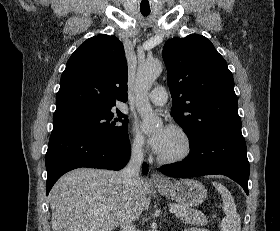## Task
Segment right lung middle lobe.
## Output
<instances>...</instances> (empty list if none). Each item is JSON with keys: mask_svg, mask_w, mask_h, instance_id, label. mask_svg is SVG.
Returning a JSON list of instances; mask_svg holds the SVG:
<instances>
[{"mask_svg": "<svg viewBox=\"0 0 280 231\" xmlns=\"http://www.w3.org/2000/svg\"><path fill=\"white\" fill-rule=\"evenodd\" d=\"M93 116L73 118L53 122V131L75 130L99 137L117 138L127 136L128 119L125 114L116 110Z\"/></svg>", "mask_w": 280, "mask_h": 231, "instance_id": "right-lung-middle-lobe-1", "label": "right lung middle lobe"}]
</instances>
